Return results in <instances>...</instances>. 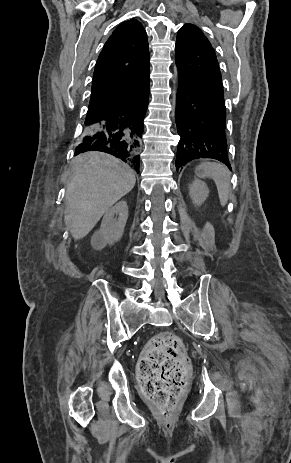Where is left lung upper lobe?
Wrapping results in <instances>:
<instances>
[{"label": "left lung upper lobe", "mask_w": 291, "mask_h": 463, "mask_svg": "<svg viewBox=\"0 0 291 463\" xmlns=\"http://www.w3.org/2000/svg\"><path fill=\"white\" fill-rule=\"evenodd\" d=\"M175 62L178 77L224 97L215 51L198 27L186 24L178 31Z\"/></svg>", "instance_id": "1"}]
</instances>
